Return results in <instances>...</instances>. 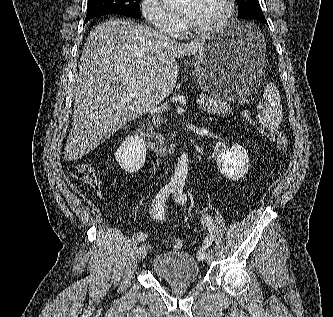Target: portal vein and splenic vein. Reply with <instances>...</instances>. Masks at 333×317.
Wrapping results in <instances>:
<instances>
[{
  "mask_svg": "<svg viewBox=\"0 0 333 317\" xmlns=\"http://www.w3.org/2000/svg\"><path fill=\"white\" fill-rule=\"evenodd\" d=\"M135 95H136L135 93L132 94V96H135ZM197 103H198L199 105H204V104H205L204 97H201L200 99H198V100H197ZM261 108H262L261 105H258V106H257V109H261Z\"/></svg>",
  "mask_w": 333,
  "mask_h": 317,
  "instance_id": "portal-vein-and-splenic-vein-1",
  "label": "portal vein and splenic vein"
}]
</instances>
